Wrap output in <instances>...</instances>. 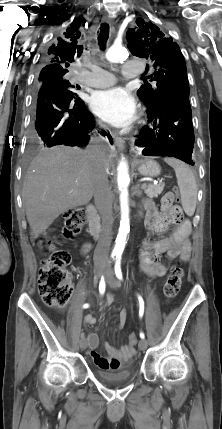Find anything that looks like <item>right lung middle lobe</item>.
Returning a JSON list of instances; mask_svg holds the SVG:
<instances>
[{
  "label": "right lung middle lobe",
  "instance_id": "right-lung-middle-lobe-1",
  "mask_svg": "<svg viewBox=\"0 0 222 429\" xmlns=\"http://www.w3.org/2000/svg\"><path fill=\"white\" fill-rule=\"evenodd\" d=\"M45 81L55 82L56 84H59V85L65 87L67 90H69L71 93H73L71 91V88H73L74 86L71 85L68 80H66L65 75H40L39 79H38V85H40L41 83H43Z\"/></svg>",
  "mask_w": 222,
  "mask_h": 429
}]
</instances>
